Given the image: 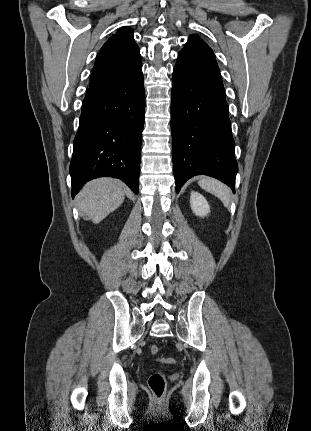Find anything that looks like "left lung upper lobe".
<instances>
[{"label":"left lung upper lobe","instance_id":"1","mask_svg":"<svg viewBox=\"0 0 311 431\" xmlns=\"http://www.w3.org/2000/svg\"><path fill=\"white\" fill-rule=\"evenodd\" d=\"M182 50H193L197 52H202L214 57L212 50L209 46L198 36H190L188 42Z\"/></svg>","mask_w":311,"mask_h":431}]
</instances>
